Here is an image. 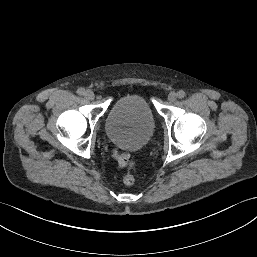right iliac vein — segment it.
<instances>
[{
  "label": "right iliac vein",
  "instance_id": "obj_1",
  "mask_svg": "<svg viewBox=\"0 0 257 257\" xmlns=\"http://www.w3.org/2000/svg\"><path fill=\"white\" fill-rule=\"evenodd\" d=\"M84 95L88 100H93L95 97L94 92L92 90H86Z\"/></svg>",
  "mask_w": 257,
  "mask_h": 257
}]
</instances>
